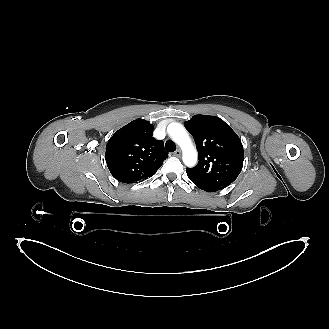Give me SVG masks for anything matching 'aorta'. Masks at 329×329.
<instances>
[{"mask_svg":"<svg viewBox=\"0 0 329 329\" xmlns=\"http://www.w3.org/2000/svg\"><path fill=\"white\" fill-rule=\"evenodd\" d=\"M168 133L172 140L177 143L182 151V159L186 166L193 167L197 163V151L187 130L179 123H171L168 126Z\"/></svg>","mask_w":329,"mask_h":329,"instance_id":"obj_1","label":"aorta"}]
</instances>
